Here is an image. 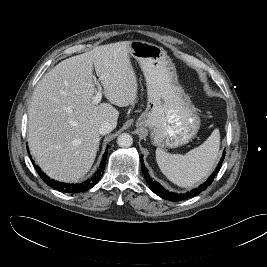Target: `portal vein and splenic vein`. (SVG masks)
<instances>
[{
  "mask_svg": "<svg viewBox=\"0 0 267 267\" xmlns=\"http://www.w3.org/2000/svg\"><path fill=\"white\" fill-rule=\"evenodd\" d=\"M96 84H97V86H98V92H97V94L93 97V103H94V104H98V103L101 101V99H102V88H101V86H100V84H99L98 81H96Z\"/></svg>",
  "mask_w": 267,
  "mask_h": 267,
  "instance_id": "1",
  "label": "portal vein and splenic vein"
}]
</instances>
